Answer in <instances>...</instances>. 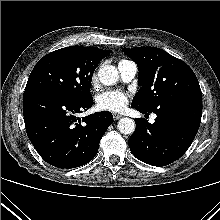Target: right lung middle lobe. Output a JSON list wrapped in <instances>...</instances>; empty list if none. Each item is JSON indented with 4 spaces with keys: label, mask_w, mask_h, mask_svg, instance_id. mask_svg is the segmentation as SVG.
Wrapping results in <instances>:
<instances>
[{
    "label": "right lung middle lobe",
    "mask_w": 220,
    "mask_h": 220,
    "mask_svg": "<svg viewBox=\"0 0 220 220\" xmlns=\"http://www.w3.org/2000/svg\"><path fill=\"white\" fill-rule=\"evenodd\" d=\"M96 61L83 55L77 46L61 48L45 55L33 68L26 90H48L75 100L90 96Z\"/></svg>",
    "instance_id": "right-lung-middle-lobe-1"
}]
</instances>
